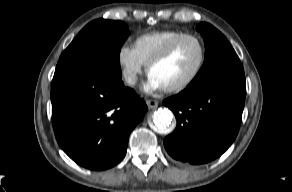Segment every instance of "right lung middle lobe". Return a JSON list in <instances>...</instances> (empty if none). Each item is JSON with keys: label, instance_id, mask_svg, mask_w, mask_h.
<instances>
[{"label": "right lung middle lobe", "instance_id": "obj_1", "mask_svg": "<svg viewBox=\"0 0 292 192\" xmlns=\"http://www.w3.org/2000/svg\"><path fill=\"white\" fill-rule=\"evenodd\" d=\"M129 33L122 21L94 20L64 50L57 66L91 67L121 78L119 53Z\"/></svg>", "mask_w": 292, "mask_h": 192}]
</instances>
